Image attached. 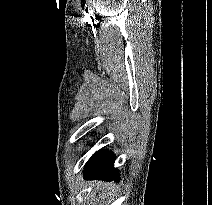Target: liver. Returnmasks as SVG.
Segmentation results:
<instances>
[{
  "instance_id": "6515ba94",
  "label": "liver",
  "mask_w": 212,
  "mask_h": 205,
  "mask_svg": "<svg viewBox=\"0 0 212 205\" xmlns=\"http://www.w3.org/2000/svg\"><path fill=\"white\" fill-rule=\"evenodd\" d=\"M102 187H103V188H104V187H108L109 190L112 189L111 184H104V185L102 184Z\"/></svg>"
}]
</instances>
